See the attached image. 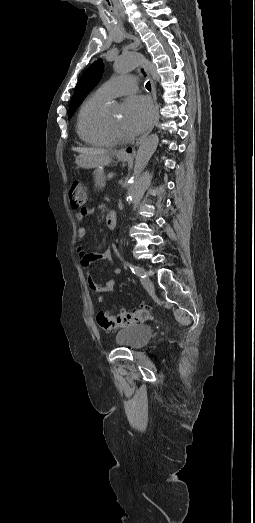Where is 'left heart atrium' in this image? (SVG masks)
Listing matches in <instances>:
<instances>
[{"label":"left heart atrium","mask_w":255,"mask_h":523,"mask_svg":"<svg viewBox=\"0 0 255 523\" xmlns=\"http://www.w3.org/2000/svg\"><path fill=\"white\" fill-rule=\"evenodd\" d=\"M153 117V105L145 96H131L126 100L123 119L132 134L141 132Z\"/></svg>","instance_id":"obj_1"}]
</instances>
